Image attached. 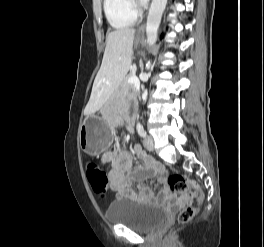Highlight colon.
<instances>
[{
    "label": "colon",
    "instance_id": "obj_1",
    "mask_svg": "<svg viewBox=\"0 0 264 247\" xmlns=\"http://www.w3.org/2000/svg\"><path fill=\"white\" fill-rule=\"evenodd\" d=\"M86 176L95 194L99 197L106 196L109 182L107 173L97 164L90 163L86 166ZM167 184L171 191L185 197L182 201L185 205L178 214L179 223L189 222L197 211V208L191 204L193 199H196L198 205L203 204L205 200L199 184L179 173L170 175ZM190 190L192 192H189Z\"/></svg>",
    "mask_w": 264,
    "mask_h": 247
}]
</instances>
